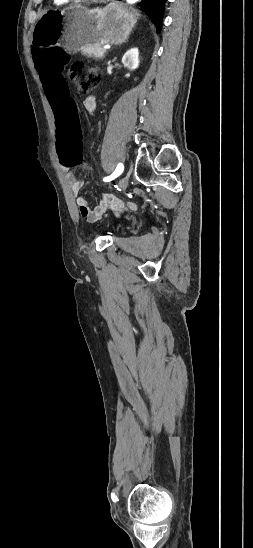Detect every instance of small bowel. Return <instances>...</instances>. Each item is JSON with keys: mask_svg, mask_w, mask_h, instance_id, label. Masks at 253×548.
Listing matches in <instances>:
<instances>
[{"mask_svg": "<svg viewBox=\"0 0 253 548\" xmlns=\"http://www.w3.org/2000/svg\"><path fill=\"white\" fill-rule=\"evenodd\" d=\"M51 60H66L65 57L63 58H53ZM47 98V96H46ZM52 108V105H50ZM83 107L87 111H93L96 107L95 98L93 96L87 97L83 101ZM57 125V124H56ZM60 160V158H59ZM61 161V160H60ZM63 171L66 175V180L71 188L72 193L76 197V204L79 208V212L81 216L87 220V221H94L96 220L102 213L105 212V206L104 204H99L95 208H90L86 199L80 196V191L84 185V182L80 179H78L71 171V166H62ZM108 204L110 207L116 211L117 214H120L124 211L134 210L136 208V205L134 203H128L124 204L122 200H120L117 197H109L108 198Z\"/></svg>", "mask_w": 253, "mask_h": 548, "instance_id": "1", "label": "small bowel"}]
</instances>
